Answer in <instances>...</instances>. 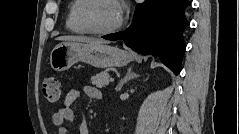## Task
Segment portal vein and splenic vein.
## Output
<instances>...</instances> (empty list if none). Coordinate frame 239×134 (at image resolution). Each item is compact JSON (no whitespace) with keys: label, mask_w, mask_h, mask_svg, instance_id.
I'll return each instance as SVG.
<instances>
[{"label":"portal vein and splenic vein","mask_w":239,"mask_h":134,"mask_svg":"<svg viewBox=\"0 0 239 134\" xmlns=\"http://www.w3.org/2000/svg\"><path fill=\"white\" fill-rule=\"evenodd\" d=\"M109 81H110V82H114V78H110Z\"/></svg>","instance_id":"obj_1"}]
</instances>
